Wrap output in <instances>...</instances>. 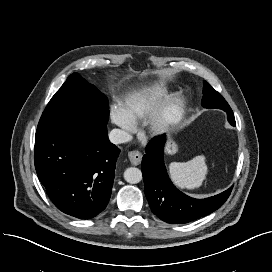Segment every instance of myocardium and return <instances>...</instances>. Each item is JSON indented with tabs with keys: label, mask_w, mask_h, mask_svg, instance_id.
I'll return each instance as SVG.
<instances>
[{
	"label": "myocardium",
	"mask_w": 272,
	"mask_h": 272,
	"mask_svg": "<svg viewBox=\"0 0 272 272\" xmlns=\"http://www.w3.org/2000/svg\"><path fill=\"white\" fill-rule=\"evenodd\" d=\"M184 117V101L179 96H173L159 104L151 114L150 131L153 134H163L175 128Z\"/></svg>",
	"instance_id": "f54148a6"
}]
</instances>
